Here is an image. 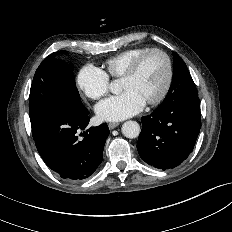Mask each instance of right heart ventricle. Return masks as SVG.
Wrapping results in <instances>:
<instances>
[{"label":"right heart ventricle","instance_id":"e07e8e85","mask_svg":"<svg viewBox=\"0 0 232 232\" xmlns=\"http://www.w3.org/2000/svg\"><path fill=\"white\" fill-rule=\"evenodd\" d=\"M147 47H137L124 50L104 62L105 73L111 78H120L130 63L141 53L148 50Z\"/></svg>","mask_w":232,"mask_h":232}]
</instances>
